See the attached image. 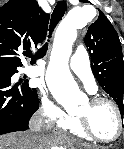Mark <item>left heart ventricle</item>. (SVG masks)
Segmentation results:
<instances>
[{
    "label": "left heart ventricle",
    "mask_w": 124,
    "mask_h": 149,
    "mask_svg": "<svg viewBox=\"0 0 124 149\" xmlns=\"http://www.w3.org/2000/svg\"><path fill=\"white\" fill-rule=\"evenodd\" d=\"M78 115L88 117L93 131L101 138L113 139L118 133V121L113 108L107 104L97 106L85 103Z\"/></svg>",
    "instance_id": "b2bd125f"
}]
</instances>
